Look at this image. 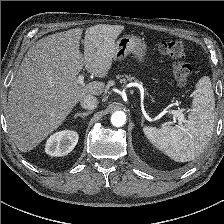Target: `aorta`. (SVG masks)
Returning <instances> with one entry per match:
<instances>
[{
	"label": "aorta",
	"mask_w": 224,
	"mask_h": 224,
	"mask_svg": "<svg viewBox=\"0 0 224 224\" xmlns=\"http://www.w3.org/2000/svg\"><path fill=\"white\" fill-rule=\"evenodd\" d=\"M126 122V115L123 111H116L111 116V123L115 127H121Z\"/></svg>",
	"instance_id": "762f6f07"
}]
</instances>
